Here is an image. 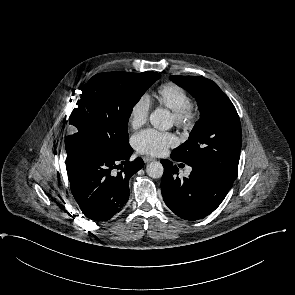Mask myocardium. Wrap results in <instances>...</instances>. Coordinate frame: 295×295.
Instances as JSON below:
<instances>
[{
  "instance_id": "f54148a6",
  "label": "myocardium",
  "mask_w": 295,
  "mask_h": 295,
  "mask_svg": "<svg viewBox=\"0 0 295 295\" xmlns=\"http://www.w3.org/2000/svg\"><path fill=\"white\" fill-rule=\"evenodd\" d=\"M197 117V111L193 105L189 106L188 108L173 112V119L175 125L178 127H190L194 124Z\"/></svg>"
}]
</instances>
